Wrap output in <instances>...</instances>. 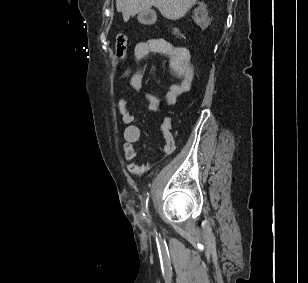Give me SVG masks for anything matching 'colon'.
Here are the masks:
<instances>
[{
  "label": "colon",
  "mask_w": 308,
  "mask_h": 283,
  "mask_svg": "<svg viewBox=\"0 0 308 283\" xmlns=\"http://www.w3.org/2000/svg\"><path fill=\"white\" fill-rule=\"evenodd\" d=\"M174 34L177 35L178 37L183 38L180 34L176 32H174ZM127 45H128L127 35L119 34L116 39V47H115L117 58L121 59L124 57L126 53Z\"/></svg>",
  "instance_id": "obj_1"
}]
</instances>
